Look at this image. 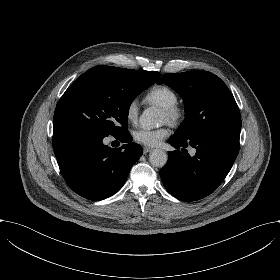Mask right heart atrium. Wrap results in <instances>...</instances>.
<instances>
[{
    "label": "right heart atrium",
    "instance_id": "d8ad5b80",
    "mask_svg": "<svg viewBox=\"0 0 280 280\" xmlns=\"http://www.w3.org/2000/svg\"><path fill=\"white\" fill-rule=\"evenodd\" d=\"M126 120L135 123L138 118V104L135 100L128 102L125 108Z\"/></svg>",
    "mask_w": 280,
    "mask_h": 280
}]
</instances>
